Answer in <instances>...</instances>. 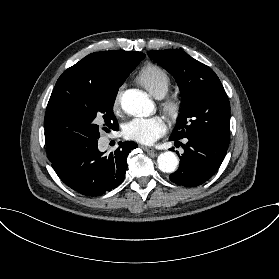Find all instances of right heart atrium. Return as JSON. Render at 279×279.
<instances>
[{"instance_id":"d8ad5b80","label":"right heart atrium","mask_w":279,"mask_h":279,"mask_svg":"<svg viewBox=\"0 0 279 279\" xmlns=\"http://www.w3.org/2000/svg\"><path fill=\"white\" fill-rule=\"evenodd\" d=\"M122 89L123 87H119L114 95V98H113V102H112V108L113 110H117L118 107H119V103H120V96H121V93H122Z\"/></svg>"}]
</instances>
